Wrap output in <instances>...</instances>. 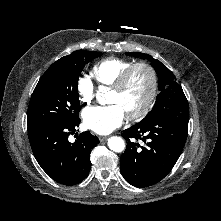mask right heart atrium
I'll return each instance as SVG.
<instances>
[{
	"label": "right heart atrium",
	"instance_id": "d8ad5b80",
	"mask_svg": "<svg viewBox=\"0 0 221 221\" xmlns=\"http://www.w3.org/2000/svg\"><path fill=\"white\" fill-rule=\"evenodd\" d=\"M77 93L79 99L84 104H89L95 96V87L89 77L82 76L77 81Z\"/></svg>",
	"mask_w": 221,
	"mask_h": 221
}]
</instances>
